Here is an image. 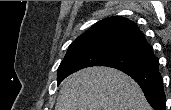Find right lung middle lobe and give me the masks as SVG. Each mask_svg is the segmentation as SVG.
<instances>
[{"instance_id":"obj_1","label":"right lung middle lobe","mask_w":171,"mask_h":110,"mask_svg":"<svg viewBox=\"0 0 171 110\" xmlns=\"http://www.w3.org/2000/svg\"><path fill=\"white\" fill-rule=\"evenodd\" d=\"M158 64V59L134 49L103 42L85 43L69 47L58 68V84L68 75L82 68L108 66L121 71L146 70Z\"/></svg>"}]
</instances>
